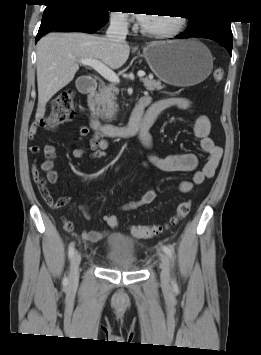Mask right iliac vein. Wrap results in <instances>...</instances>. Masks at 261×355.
Segmentation results:
<instances>
[{"label":"right iliac vein","instance_id":"1","mask_svg":"<svg viewBox=\"0 0 261 355\" xmlns=\"http://www.w3.org/2000/svg\"><path fill=\"white\" fill-rule=\"evenodd\" d=\"M81 262V255L75 252L70 263V286H76L79 281V266Z\"/></svg>","mask_w":261,"mask_h":355}]
</instances>
